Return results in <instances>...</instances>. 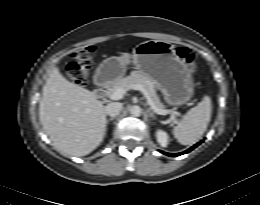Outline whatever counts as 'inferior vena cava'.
Here are the masks:
<instances>
[{
	"label": "inferior vena cava",
	"mask_w": 260,
	"mask_h": 205,
	"mask_svg": "<svg viewBox=\"0 0 260 205\" xmlns=\"http://www.w3.org/2000/svg\"><path fill=\"white\" fill-rule=\"evenodd\" d=\"M121 110H122V104L119 103V102L109 103L105 107L106 114L111 116V117H115V116L119 115Z\"/></svg>",
	"instance_id": "obj_1"
}]
</instances>
